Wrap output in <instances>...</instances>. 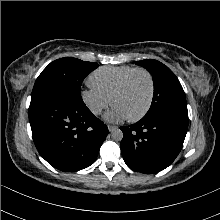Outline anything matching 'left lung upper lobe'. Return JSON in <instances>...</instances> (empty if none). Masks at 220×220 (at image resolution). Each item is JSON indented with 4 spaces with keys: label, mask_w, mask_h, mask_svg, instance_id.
I'll use <instances>...</instances> for the list:
<instances>
[{
    "label": "left lung upper lobe",
    "mask_w": 220,
    "mask_h": 220,
    "mask_svg": "<svg viewBox=\"0 0 220 220\" xmlns=\"http://www.w3.org/2000/svg\"><path fill=\"white\" fill-rule=\"evenodd\" d=\"M152 75L154 94L151 107L142 119L171 116L188 124V111L184 90L174 73L157 60L137 61Z\"/></svg>",
    "instance_id": "1"
}]
</instances>
